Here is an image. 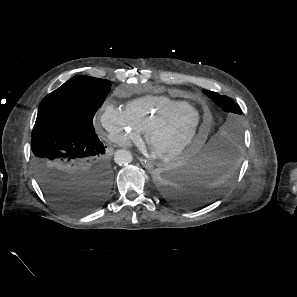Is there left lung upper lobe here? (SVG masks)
Returning <instances> with one entry per match:
<instances>
[{"label": "left lung upper lobe", "mask_w": 297, "mask_h": 297, "mask_svg": "<svg viewBox=\"0 0 297 297\" xmlns=\"http://www.w3.org/2000/svg\"><path fill=\"white\" fill-rule=\"evenodd\" d=\"M203 93L224 111L223 119L216 129L213 139L230 149L237 148L242 137L241 108L227 96L207 90H203Z\"/></svg>", "instance_id": "left-lung-upper-lobe-1"}]
</instances>
